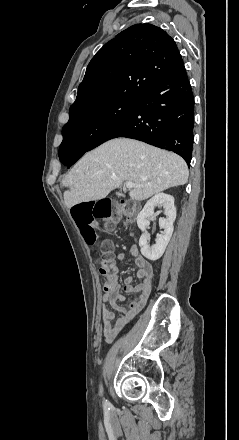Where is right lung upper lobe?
Listing matches in <instances>:
<instances>
[{
  "mask_svg": "<svg viewBox=\"0 0 239 440\" xmlns=\"http://www.w3.org/2000/svg\"><path fill=\"white\" fill-rule=\"evenodd\" d=\"M180 60L175 41L164 30L151 24L133 25L92 58L69 115L115 97L139 98Z\"/></svg>",
  "mask_w": 239,
  "mask_h": 440,
  "instance_id": "cb5924a9",
  "label": "right lung upper lobe"
}]
</instances>
